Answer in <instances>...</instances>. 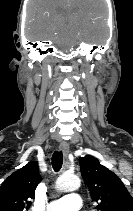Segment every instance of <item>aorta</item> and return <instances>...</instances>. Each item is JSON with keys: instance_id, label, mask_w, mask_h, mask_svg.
Wrapping results in <instances>:
<instances>
[{"instance_id": "762f6f07", "label": "aorta", "mask_w": 133, "mask_h": 211, "mask_svg": "<svg viewBox=\"0 0 133 211\" xmlns=\"http://www.w3.org/2000/svg\"><path fill=\"white\" fill-rule=\"evenodd\" d=\"M80 185V179L74 175H63L59 177L55 183L56 189L64 192L78 190Z\"/></svg>"}]
</instances>
